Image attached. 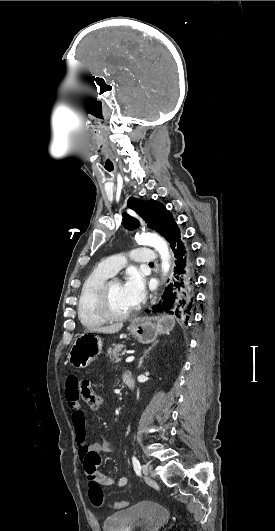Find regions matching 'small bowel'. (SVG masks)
<instances>
[{"label": "small bowel", "mask_w": 275, "mask_h": 531, "mask_svg": "<svg viewBox=\"0 0 275 531\" xmlns=\"http://www.w3.org/2000/svg\"><path fill=\"white\" fill-rule=\"evenodd\" d=\"M70 376L75 374L73 369L68 371ZM73 380L76 378L73 377ZM66 399L71 411V425L73 431L76 435V438L79 442L78 447V458L83 465L84 473L88 477H94L100 485L109 486L114 483V480L99 472L98 468L101 464V455L103 453H109L114 450L113 444L106 440L101 439L100 441L94 442L92 444H86L85 438L87 435V425H86V416L84 410L79 402L78 393L80 391V386L78 383H67L65 386ZM128 483L126 477H121L117 485L119 487H124Z\"/></svg>", "instance_id": "1"}]
</instances>
